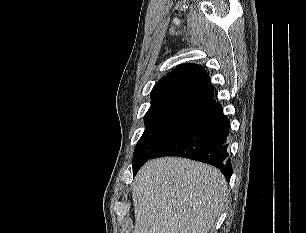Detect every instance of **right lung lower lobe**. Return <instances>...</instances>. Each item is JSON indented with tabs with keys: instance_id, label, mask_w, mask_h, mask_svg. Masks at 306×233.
I'll list each match as a JSON object with an SVG mask.
<instances>
[{
	"instance_id": "right-lung-lower-lobe-1",
	"label": "right lung lower lobe",
	"mask_w": 306,
	"mask_h": 233,
	"mask_svg": "<svg viewBox=\"0 0 306 233\" xmlns=\"http://www.w3.org/2000/svg\"><path fill=\"white\" fill-rule=\"evenodd\" d=\"M229 126L230 121L224 116L222 106L214 103L204 108L151 158L180 156L205 162L219 168L229 181L232 175L228 158Z\"/></svg>"
}]
</instances>
